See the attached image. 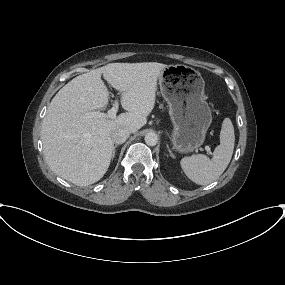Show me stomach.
I'll list each match as a JSON object with an SVG mask.
<instances>
[{"mask_svg":"<svg viewBox=\"0 0 285 285\" xmlns=\"http://www.w3.org/2000/svg\"><path fill=\"white\" fill-rule=\"evenodd\" d=\"M163 98L173 124L170 141L179 153L200 148L212 114L204 97L205 82L199 72L184 65H169L159 76Z\"/></svg>","mask_w":285,"mask_h":285,"instance_id":"1","label":"stomach"}]
</instances>
